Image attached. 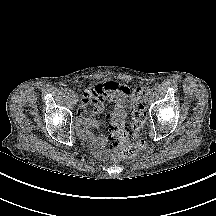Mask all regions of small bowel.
I'll list each match as a JSON object with an SVG mask.
<instances>
[{
    "label": "small bowel",
    "mask_w": 216,
    "mask_h": 216,
    "mask_svg": "<svg viewBox=\"0 0 216 216\" xmlns=\"http://www.w3.org/2000/svg\"><path fill=\"white\" fill-rule=\"evenodd\" d=\"M130 88L115 81L99 82L91 86V90L83 95L77 114V131L82 138L87 139L94 147L99 148L104 144V139L99 134L92 132L98 127L94 115L104 110L105 103L111 102L114 108L108 116L113 122L127 115L128 96ZM93 106L90 112L89 107Z\"/></svg>",
    "instance_id": "1"
}]
</instances>
